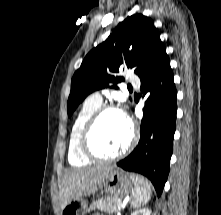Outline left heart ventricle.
I'll return each mask as SVG.
<instances>
[{
    "mask_svg": "<svg viewBox=\"0 0 221 215\" xmlns=\"http://www.w3.org/2000/svg\"><path fill=\"white\" fill-rule=\"evenodd\" d=\"M129 138L130 129L124 117L117 112H108L96 124L91 144L102 155H114L125 148Z\"/></svg>",
    "mask_w": 221,
    "mask_h": 215,
    "instance_id": "1",
    "label": "left heart ventricle"
}]
</instances>
